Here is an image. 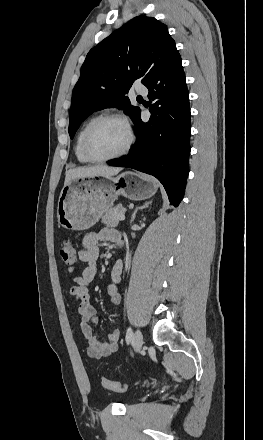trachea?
Segmentation results:
<instances>
[{
	"label": "trachea",
	"instance_id": "obj_1",
	"mask_svg": "<svg viewBox=\"0 0 263 440\" xmlns=\"http://www.w3.org/2000/svg\"><path fill=\"white\" fill-rule=\"evenodd\" d=\"M137 98H142L141 96H138Z\"/></svg>",
	"mask_w": 263,
	"mask_h": 440
}]
</instances>
